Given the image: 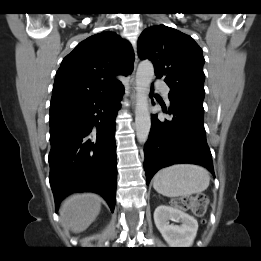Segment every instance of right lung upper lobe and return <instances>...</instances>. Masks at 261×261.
Here are the masks:
<instances>
[{"label": "right lung upper lobe", "mask_w": 261, "mask_h": 261, "mask_svg": "<svg viewBox=\"0 0 261 261\" xmlns=\"http://www.w3.org/2000/svg\"><path fill=\"white\" fill-rule=\"evenodd\" d=\"M131 45L114 32H102L80 42L62 61L50 106L122 87L115 78L133 71Z\"/></svg>", "instance_id": "1"}]
</instances>
